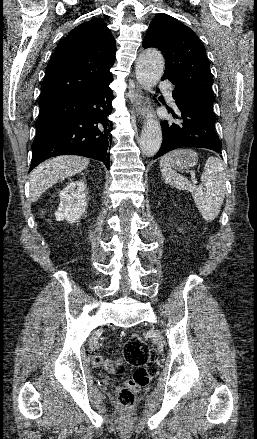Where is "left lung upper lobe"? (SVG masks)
<instances>
[{"instance_id": "1", "label": "left lung upper lobe", "mask_w": 257, "mask_h": 439, "mask_svg": "<svg viewBox=\"0 0 257 439\" xmlns=\"http://www.w3.org/2000/svg\"><path fill=\"white\" fill-rule=\"evenodd\" d=\"M143 47H156L163 53V78L213 107L210 63L203 44L189 27L167 14H157L147 30Z\"/></svg>"}]
</instances>
